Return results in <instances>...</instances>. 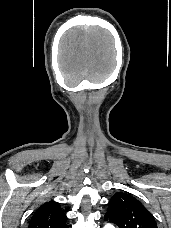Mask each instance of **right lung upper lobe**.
<instances>
[{
  "mask_svg": "<svg viewBox=\"0 0 171 228\" xmlns=\"http://www.w3.org/2000/svg\"><path fill=\"white\" fill-rule=\"evenodd\" d=\"M66 220L59 203L49 201L36 210L28 228H67Z\"/></svg>",
  "mask_w": 171,
  "mask_h": 228,
  "instance_id": "right-lung-upper-lobe-1",
  "label": "right lung upper lobe"
}]
</instances>
